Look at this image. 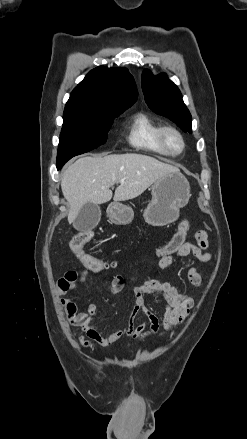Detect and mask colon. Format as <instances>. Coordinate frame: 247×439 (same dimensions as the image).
<instances>
[{"label": "colon", "instance_id": "obj_1", "mask_svg": "<svg viewBox=\"0 0 247 439\" xmlns=\"http://www.w3.org/2000/svg\"><path fill=\"white\" fill-rule=\"evenodd\" d=\"M189 230V222L183 220L179 223L173 237L160 249V256H168L176 253L183 245L187 232ZM93 233L84 230L76 233L71 242L70 248L83 266L90 271L100 272L111 267V263L97 258L84 250V246L91 241Z\"/></svg>", "mask_w": 247, "mask_h": 439}]
</instances>
